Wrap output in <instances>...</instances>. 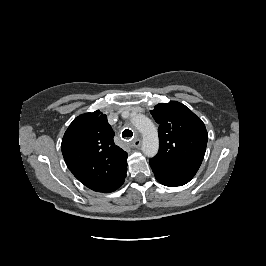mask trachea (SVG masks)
<instances>
[{
	"instance_id": "trachea-1",
	"label": "trachea",
	"mask_w": 266,
	"mask_h": 266,
	"mask_svg": "<svg viewBox=\"0 0 266 266\" xmlns=\"http://www.w3.org/2000/svg\"><path fill=\"white\" fill-rule=\"evenodd\" d=\"M133 136V132L130 129H125L122 132V137L125 139H130Z\"/></svg>"
}]
</instances>
